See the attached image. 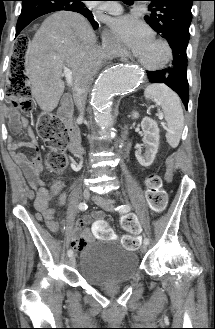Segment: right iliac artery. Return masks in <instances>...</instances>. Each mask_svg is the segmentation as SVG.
Returning <instances> with one entry per match:
<instances>
[{
    "mask_svg": "<svg viewBox=\"0 0 215 329\" xmlns=\"http://www.w3.org/2000/svg\"><path fill=\"white\" fill-rule=\"evenodd\" d=\"M79 209L82 210V211L86 210L87 209V204L85 202L80 203L79 204ZM67 254H68L69 257H71L73 255V251L70 249V250H68Z\"/></svg>",
    "mask_w": 215,
    "mask_h": 329,
    "instance_id": "obj_1",
    "label": "right iliac artery"
}]
</instances>
